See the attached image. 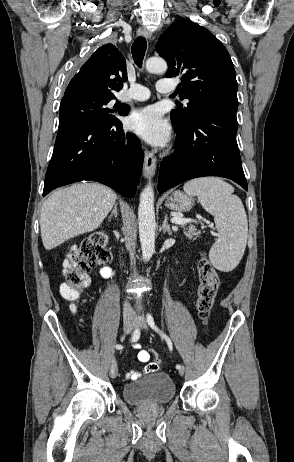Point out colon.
<instances>
[{
    "label": "colon",
    "mask_w": 294,
    "mask_h": 462,
    "mask_svg": "<svg viewBox=\"0 0 294 462\" xmlns=\"http://www.w3.org/2000/svg\"><path fill=\"white\" fill-rule=\"evenodd\" d=\"M111 259L107 239L102 234L88 237L71 247L63 264L64 282L60 287L62 297L69 301L78 299L88 284V272L97 265L109 263ZM198 275L197 310L200 318L206 322L210 317L220 280L205 256L199 260ZM150 355L154 361H159V355L155 351H151Z\"/></svg>",
    "instance_id": "obj_1"
}]
</instances>
